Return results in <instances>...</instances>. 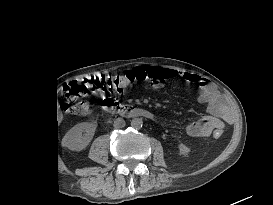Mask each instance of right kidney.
<instances>
[{
	"label": "right kidney",
	"instance_id": "right-kidney-1",
	"mask_svg": "<svg viewBox=\"0 0 273 205\" xmlns=\"http://www.w3.org/2000/svg\"><path fill=\"white\" fill-rule=\"evenodd\" d=\"M95 129L96 125L86 122L80 123L73 128V130L77 134V139L79 141V150L85 148L89 144L94 136ZM82 132L86 133L82 135Z\"/></svg>",
	"mask_w": 273,
	"mask_h": 205
}]
</instances>
